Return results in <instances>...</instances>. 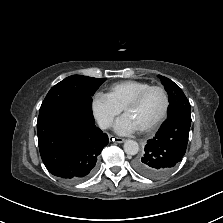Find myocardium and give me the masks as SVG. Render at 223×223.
<instances>
[{
  "instance_id": "1",
  "label": "myocardium",
  "mask_w": 223,
  "mask_h": 223,
  "mask_svg": "<svg viewBox=\"0 0 223 223\" xmlns=\"http://www.w3.org/2000/svg\"><path fill=\"white\" fill-rule=\"evenodd\" d=\"M152 90H160L163 93L165 99L164 109L155 122H153L149 126L139 129L141 133H148L156 130L166 119L170 107V98L167 90L162 86L151 85L140 91L133 99H131L127 103V105L123 109L124 113H126L129 109L136 107L143 100V98Z\"/></svg>"
}]
</instances>
